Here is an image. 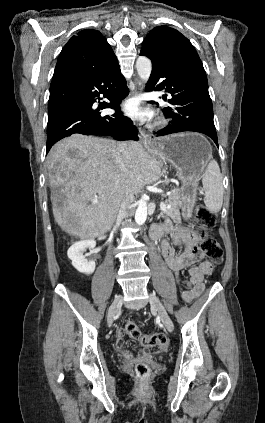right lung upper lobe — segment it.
<instances>
[{
	"label": "right lung upper lobe",
	"instance_id": "cb5924a9",
	"mask_svg": "<svg viewBox=\"0 0 265 423\" xmlns=\"http://www.w3.org/2000/svg\"><path fill=\"white\" fill-rule=\"evenodd\" d=\"M118 65L106 39L97 30L85 29L72 36L62 49L52 80L87 71H105Z\"/></svg>",
	"mask_w": 265,
	"mask_h": 423
}]
</instances>
